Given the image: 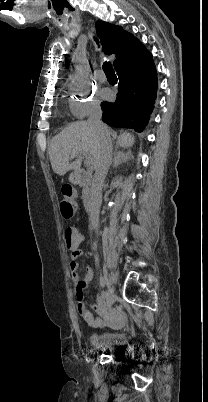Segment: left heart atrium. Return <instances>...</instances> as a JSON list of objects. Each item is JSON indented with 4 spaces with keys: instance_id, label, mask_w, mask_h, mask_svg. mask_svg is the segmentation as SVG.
<instances>
[{
    "instance_id": "1",
    "label": "left heart atrium",
    "mask_w": 208,
    "mask_h": 402,
    "mask_svg": "<svg viewBox=\"0 0 208 402\" xmlns=\"http://www.w3.org/2000/svg\"><path fill=\"white\" fill-rule=\"evenodd\" d=\"M99 96L103 100H110L113 96V93L110 88L103 86L99 90Z\"/></svg>"
}]
</instances>
